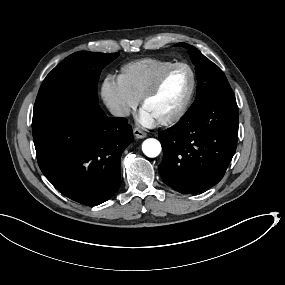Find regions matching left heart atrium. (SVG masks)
<instances>
[{"label":"left heart atrium","mask_w":285,"mask_h":285,"mask_svg":"<svg viewBox=\"0 0 285 285\" xmlns=\"http://www.w3.org/2000/svg\"><path fill=\"white\" fill-rule=\"evenodd\" d=\"M137 118L146 126H154L158 123V119L143 107L139 110Z\"/></svg>","instance_id":"obj_1"}]
</instances>
